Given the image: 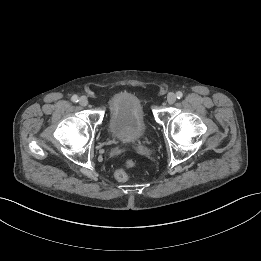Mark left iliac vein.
<instances>
[{
    "label": "left iliac vein",
    "mask_w": 261,
    "mask_h": 261,
    "mask_svg": "<svg viewBox=\"0 0 261 261\" xmlns=\"http://www.w3.org/2000/svg\"><path fill=\"white\" fill-rule=\"evenodd\" d=\"M176 101V95L174 93H169L167 95V102L168 104H174Z\"/></svg>",
    "instance_id": "obj_1"
}]
</instances>
